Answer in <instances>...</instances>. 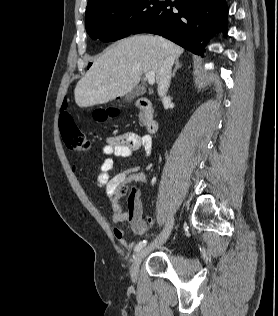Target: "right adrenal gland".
<instances>
[{
    "label": "right adrenal gland",
    "instance_id": "2a0ac1e0",
    "mask_svg": "<svg viewBox=\"0 0 278 316\" xmlns=\"http://www.w3.org/2000/svg\"><path fill=\"white\" fill-rule=\"evenodd\" d=\"M182 64L179 63V60L176 59L175 61V67H174V70H173V73H172V77L174 78L175 75H176V72L179 68H181Z\"/></svg>",
    "mask_w": 278,
    "mask_h": 316
}]
</instances>
